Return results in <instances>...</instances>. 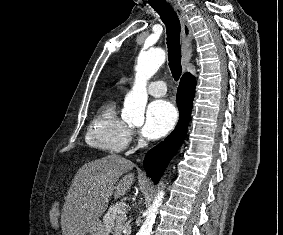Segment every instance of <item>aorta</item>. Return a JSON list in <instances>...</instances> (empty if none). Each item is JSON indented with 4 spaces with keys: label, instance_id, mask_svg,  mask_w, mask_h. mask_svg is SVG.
<instances>
[{
    "label": "aorta",
    "instance_id": "obj_1",
    "mask_svg": "<svg viewBox=\"0 0 283 235\" xmlns=\"http://www.w3.org/2000/svg\"><path fill=\"white\" fill-rule=\"evenodd\" d=\"M165 51L162 49H150L141 52L137 59L135 85L126 96L122 119L127 122L138 123L144 120V112L147 104V81L158 71L165 61ZM165 192L158 189L155 199L147 210V216L136 235H151L158 208L162 204Z\"/></svg>",
    "mask_w": 283,
    "mask_h": 235
}]
</instances>
